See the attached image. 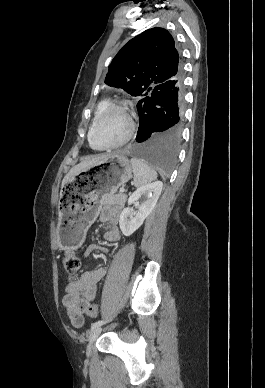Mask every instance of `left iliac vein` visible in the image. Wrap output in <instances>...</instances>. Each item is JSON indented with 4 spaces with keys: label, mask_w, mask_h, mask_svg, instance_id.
Here are the masks:
<instances>
[{
    "label": "left iliac vein",
    "mask_w": 265,
    "mask_h": 388,
    "mask_svg": "<svg viewBox=\"0 0 265 388\" xmlns=\"http://www.w3.org/2000/svg\"><path fill=\"white\" fill-rule=\"evenodd\" d=\"M101 332H102L101 326H98V327L92 329V331L90 332V334L88 336V346H87V355L88 356L91 354V349H92V345H93L94 341L98 338V336L101 334Z\"/></svg>",
    "instance_id": "obj_1"
}]
</instances>
